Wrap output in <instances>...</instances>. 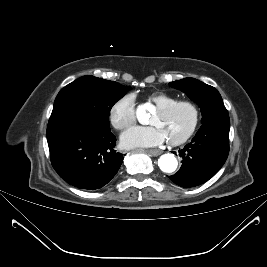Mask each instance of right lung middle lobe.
<instances>
[{"label":"right lung middle lobe","mask_w":267,"mask_h":267,"mask_svg":"<svg viewBox=\"0 0 267 267\" xmlns=\"http://www.w3.org/2000/svg\"><path fill=\"white\" fill-rule=\"evenodd\" d=\"M130 87L91 75L65 86L57 95L48 126L68 118H79L109 126L112 106Z\"/></svg>","instance_id":"right-lung-middle-lobe-1"}]
</instances>
